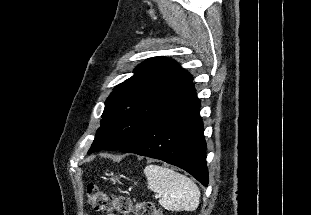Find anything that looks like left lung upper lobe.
<instances>
[{
	"instance_id": "left-lung-upper-lobe-1",
	"label": "left lung upper lobe",
	"mask_w": 311,
	"mask_h": 215,
	"mask_svg": "<svg viewBox=\"0 0 311 215\" xmlns=\"http://www.w3.org/2000/svg\"><path fill=\"white\" fill-rule=\"evenodd\" d=\"M192 82V75L173 59L153 57L139 64L134 75L116 86L107 98L101 126L88 153L118 150L129 144Z\"/></svg>"
}]
</instances>
